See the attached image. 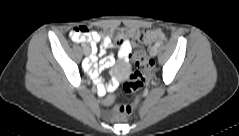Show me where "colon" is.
<instances>
[{"instance_id":"obj_1","label":"colon","mask_w":239,"mask_h":136,"mask_svg":"<svg viewBox=\"0 0 239 136\" xmlns=\"http://www.w3.org/2000/svg\"><path fill=\"white\" fill-rule=\"evenodd\" d=\"M90 29L86 26L75 27L71 31V36L75 40L87 39L90 36ZM98 33V32H97ZM101 37H107L112 46L120 45L123 37L129 36L133 41L147 45L154 40L163 38V33L158 30L136 31L124 29H110L98 33ZM136 60L133 71L129 74L126 82L123 85L124 91L130 93L131 102L128 104H116L112 108V119L117 122H122L136 109L139 102V91L144 86L148 75L151 73L154 63L148 57L145 51L138 50L134 53Z\"/></svg>"}]
</instances>
